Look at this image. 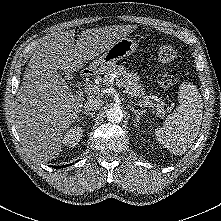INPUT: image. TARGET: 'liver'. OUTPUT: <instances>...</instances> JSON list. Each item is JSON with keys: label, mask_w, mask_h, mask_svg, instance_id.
<instances>
[{"label": "liver", "mask_w": 221, "mask_h": 221, "mask_svg": "<svg viewBox=\"0 0 221 221\" xmlns=\"http://www.w3.org/2000/svg\"><path fill=\"white\" fill-rule=\"evenodd\" d=\"M136 26L98 27L47 36L34 50L17 91L14 122L22 141L36 158L54 159L65 132L82 111L84 97L71 92L59 71L76 72Z\"/></svg>", "instance_id": "liver-1"}]
</instances>
